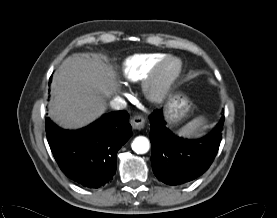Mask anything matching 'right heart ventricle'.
<instances>
[{
	"instance_id": "1",
	"label": "right heart ventricle",
	"mask_w": 277,
	"mask_h": 218,
	"mask_svg": "<svg viewBox=\"0 0 277 218\" xmlns=\"http://www.w3.org/2000/svg\"><path fill=\"white\" fill-rule=\"evenodd\" d=\"M165 56L167 55L163 53H143L128 57L122 67L125 79L133 83L145 81L155 65Z\"/></svg>"
}]
</instances>
